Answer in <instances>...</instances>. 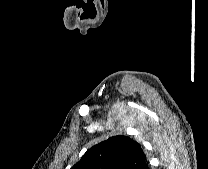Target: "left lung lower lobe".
<instances>
[{"instance_id":"left-lung-lower-lobe-1","label":"left lung lower lobe","mask_w":208,"mask_h":169,"mask_svg":"<svg viewBox=\"0 0 208 169\" xmlns=\"http://www.w3.org/2000/svg\"><path fill=\"white\" fill-rule=\"evenodd\" d=\"M145 169H149V165L147 164V166L145 167Z\"/></svg>"}]
</instances>
